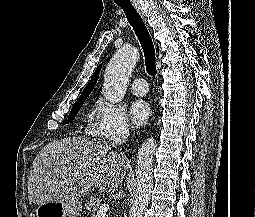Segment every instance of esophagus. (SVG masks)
I'll use <instances>...</instances> for the list:
<instances>
[{
  "instance_id": "esophagus-1",
  "label": "esophagus",
  "mask_w": 255,
  "mask_h": 217,
  "mask_svg": "<svg viewBox=\"0 0 255 217\" xmlns=\"http://www.w3.org/2000/svg\"><path fill=\"white\" fill-rule=\"evenodd\" d=\"M133 5H134L135 9L137 10V12L139 13V15H140L142 18H144V12L142 11V9H141L139 3L136 2V1H133Z\"/></svg>"
}]
</instances>
